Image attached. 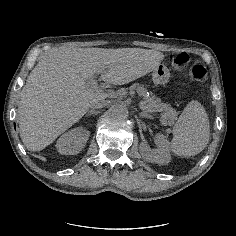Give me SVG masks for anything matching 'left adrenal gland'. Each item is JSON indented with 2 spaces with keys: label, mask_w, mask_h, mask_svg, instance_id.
<instances>
[{
  "label": "left adrenal gland",
  "mask_w": 236,
  "mask_h": 236,
  "mask_svg": "<svg viewBox=\"0 0 236 236\" xmlns=\"http://www.w3.org/2000/svg\"><path fill=\"white\" fill-rule=\"evenodd\" d=\"M139 116H140L141 118H148V117H149V114L146 113V112H142V113H139Z\"/></svg>",
  "instance_id": "obj_1"
}]
</instances>
